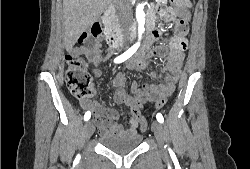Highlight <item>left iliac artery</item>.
Segmentation results:
<instances>
[{
  "label": "left iliac artery",
  "mask_w": 250,
  "mask_h": 169,
  "mask_svg": "<svg viewBox=\"0 0 250 169\" xmlns=\"http://www.w3.org/2000/svg\"><path fill=\"white\" fill-rule=\"evenodd\" d=\"M156 118H157L158 122H160V123H163V122H164V118H163V116H162L161 113H158V114L156 115ZM169 151H171V149H169Z\"/></svg>",
  "instance_id": "left-iliac-artery-1"
}]
</instances>
